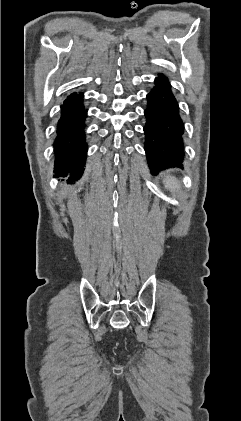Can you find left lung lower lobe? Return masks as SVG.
<instances>
[{
    "label": "left lung lower lobe",
    "mask_w": 241,
    "mask_h": 421,
    "mask_svg": "<svg viewBox=\"0 0 241 421\" xmlns=\"http://www.w3.org/2000/svg\"><path fill=\"white\" fill-rule=\"evenodd\" d=\"M145 151L152 173L181 167L184 159L183 121L171 85L163 74L155 79V87L147 95Z\"/></svg>",
    "instance_id": "obj_1"
}]
</instances>
